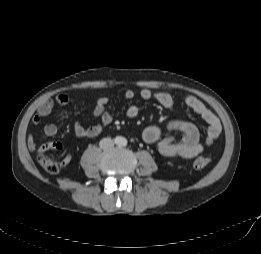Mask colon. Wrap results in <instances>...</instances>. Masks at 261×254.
Instances as JSON below:
<instances>
[{
    "mask_svg": "<svg viewBox=\"0 0 261 254\" xmlns=\"http://www.w3.org/2000/svg\"><path fill=\"white\" fill-rule=\"evenodd\" d=\"M53 148L54 147L42 146L38 150L39 164L46 172L51 174L58 173L62 166V161ZM212 161L213 159L209 155L199 156L193 161V166L196 169H202L211 164Z\"/></svg>",
    "mask_w": 261,
    "mask_h": 254,
    "instance_id": "colon-1",
    "label": "colon"
}]
</instances>
